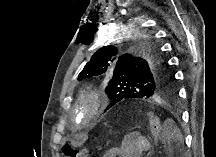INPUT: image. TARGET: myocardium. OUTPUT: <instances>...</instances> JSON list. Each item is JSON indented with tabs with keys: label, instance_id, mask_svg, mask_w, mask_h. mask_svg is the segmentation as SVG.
<instances>
[{
	"label": "myocardium",
	"instance_id": "f54148a6",
	"mask_svg": "<svg viewBox=\"0 0 216 157\" xmlns=\"http://www.w3.org/2000/svg\"><path fill=\"white\" fill-rule=\"evenodd\" d=\"M105 107L106 99L100 91L95 89L81 91L72 110L74 123L78 126L89 125Z\"/></svg>",
	"mask_w": 216,
	"mask_h": 157
}]
</instances>
